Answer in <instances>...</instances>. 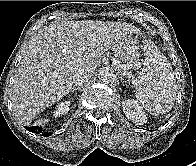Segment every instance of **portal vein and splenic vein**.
Masks as SVG:
<instances>
[{
    "label": "portal vein and splenic vein",
    "instance_id": "portal-vein-and-splenic-vein-1",
    "mask_svg": "<svg viewBox=\"0 0 196 166\" xmlns=\"http://www.w3.org/2000/svg\"><path fill=\"white\" fill-rule=\"evenodd\" d=\"M119 67L121 69H123L124 71H128L131 69V66L130 65H126V64H120Z\"/></svg>",
    "mask_w": 196,
    "mask_h": 166
}]
</instances>
